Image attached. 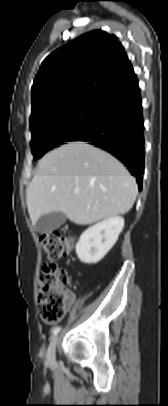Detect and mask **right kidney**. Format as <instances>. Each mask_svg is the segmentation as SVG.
I'll use <instances>...</instances> for the list:
<instances>
[{"instance_id": "ca27d5eb", "label": "right kidney", "mask_w": 168, "mask_h": 406, "mask_svg": "<svg viewBox=\"0 0 168 406\" xmlns=\"http://www.w3.org/2000/svg\"><path fill=\"white\" fill-rule=\"evenodd\" d=\"M123 227L124 219L114 216L85 230L76 244V254L80 261L98 263L114 246Z\"/></svg>"}]
</instances>
